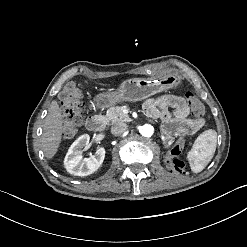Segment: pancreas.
I'll return each mask as SVG.
<instances>
[{
	"label": "pancreas",
	"instance_id": "obj_1",
	"mask_svg": "<svg viewBox=\"0 0 247 247\" xmlns=\"http://www.w3.org/2000/svg\"><path fill=\"white\" fill-rule=\"evenodd\" d=\"M106 118L108 121L113 123L129 120L128 114L123 113L120 106L110 107L107 110Z\"/></svg>",
	"mask_w": 247,
	"mask_h": 247
}]
</instances>
